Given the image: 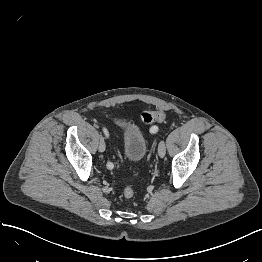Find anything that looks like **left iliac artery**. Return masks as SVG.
<instances>
[{"label": "left iliac artery", "mask_w": 262, "mask_h": 262, "mask_svg": "<svg viewBox=\"0 0 262 262\" xmlns=\"http://www.w3.org/2000/svg\"><path fill=\"white\" fill-rule=\"evenodd\" d=\"M151 130H152V131H157V130H158V127L153 126V127L151 128Z\"/></svg>", "instance_id": "left-iliac-artery-1"}]
</instances>
